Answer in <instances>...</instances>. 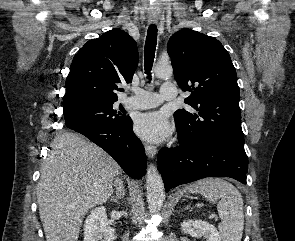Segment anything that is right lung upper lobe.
<instances>
[{
  "label": "right lung upper lobe",
  "mask_w": 295,
  "mask_h": 241,
  "mask_svg": "<svg viewBox=\"0 0 295 241\" xmlns=\"http://www.w3.org/2000/svg\"><path fill=\"white\" fill-rule=\"evenodd\" d=\"M138 65L136 42L112 29L88 41L74 56L66 80L64 112L84 106L114 103L120 84L130 83Z\"/></svg>",
  "instance_id": "right-lung-upper-lobe-1"
}]
</instances>
